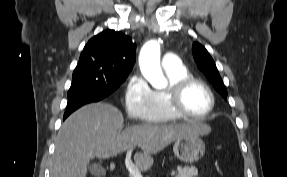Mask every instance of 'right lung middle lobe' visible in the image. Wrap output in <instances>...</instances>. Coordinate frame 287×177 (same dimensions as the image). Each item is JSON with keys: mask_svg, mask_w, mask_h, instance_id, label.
Listing matches in <instances>:
<instances>
[{"mask_svg": "<svg viewBox=\"0 0 287 177\" xmlns=\"http://www.w3.org/2000/svg\"><path fill=\"white\" fill-rule=\"evenodd\" d=\"M126 78L127 76L110 77L96 70L76 67L67 96L82 91H97L105 93V95L108 96L113 93Z\"/></svg>", "mask_w": 287, "mask_h": 177, "instance_id": "dd1d6c3e", "label": "right lung middle lobe"}]
</instances>
